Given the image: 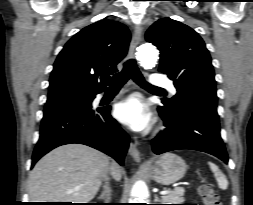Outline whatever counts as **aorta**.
Returning a JSON list of instances; mask_svg holds the SVG:
<instances>
[{
	"instance_id": "762f6f07",
	"label": "aorta",
	"mask_w": 253,
	"mask_h": 205,
	"mask_svg": "<svg viewBox=\"0 0 253 205\" xmlns=\"http://www.w3.org/2000/svg\"><path fill=\"white\" fill-rule=\"evenodd\" d=\"M138 53H139L140 63L145 69H150L157 64L158 50L153 44L145 43L141 45ZM145 202H146V197L141 194H135L131 198V203L133 204H139V203H145Z\"/></svg>"
}]
</instances>
